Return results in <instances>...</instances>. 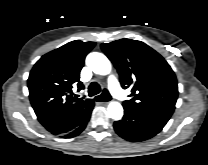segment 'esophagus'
Here are the masks:
<instances>
[{"label": "esophagus", "instance_id": "obj_1", "mask_svg": "<svg viewBox=\"0 0 208 165\" xmlns=\"http://www.w3.org/2000/svg\"><path fill=\"white\" fill-rule=\"evenodd\" d=\"M110 99H111V97H110ZM95 100H96V97H95ZM109 102H110V100L105 101V102H98V103H101V104H108Z\"/></svg>", "mask_w": 208, "mask_h": 165}]
</instances>
